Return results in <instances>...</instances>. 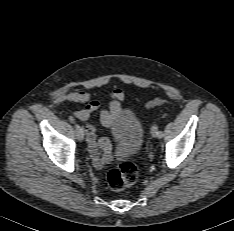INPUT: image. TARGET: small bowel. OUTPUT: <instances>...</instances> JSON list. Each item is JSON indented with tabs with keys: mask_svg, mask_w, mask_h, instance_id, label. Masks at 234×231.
Returning <instances> with one entry per match:
<instances>
[{
	"mask_svg": "<svg viewBox=\"0 0 234 231\" xmlns=\"http://www.w3.org/2000/svg\"><path fill=\"white\" fill-rule=\"evenodd\" d=\"M124 92L120 89L114 90L110 96V102L107 109L100 110V104L97 100H92L90 95L84 91H73L65 94L64 99L72 102L85 103L87 106L75 112L76 118L86 122V134L89 143V152L92 165L101 169L114 159L109 142L104 138L97 137V128L90 122L94 113L99 114L100 122L104 127L111 128L120 112V103L124 100Z\"/></svg>",
	"mask_w": 234,
	"mask_h": 231,
	"instance_id": "small-bowel-1",
	"label": "small bowel"
}]
</instances>
